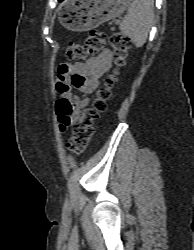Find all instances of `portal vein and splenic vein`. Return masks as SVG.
<instances>
[{
	"instance_id": "18ae733b",
	"label": "portal vein and splenic vein",
	"mask_w": 194,
	"mask_h": 250,
	"mask_svg": "<svg viewBox=\"0 0 194 250\" xmlns=\"http://www.w3.org/2000/svg\"><path fill=\"white\" fill-rule=\"evenodd\" d=\"M116 23L118 24V23H119V21L117 20V21H116Z\"/></svg>"
}]
</instances>
